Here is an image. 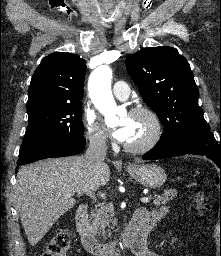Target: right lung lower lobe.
<instances>
[{"instance_id":"obj_1","label":"right lung lower lobe","mask_w":221,"mask_h":256,"mask_svg":"<svg viewBox=\"0 0 221 256\" xmlns=\"http://www.w3.org/2000/svg\"><path fill=\"white\" fill-rule=\"evenodd\" d=\"M85 142L83 136L69 134L43 140L20 152L17 166L45 158L79 154L84 150Z\"/></svg>"}]
</instances>
